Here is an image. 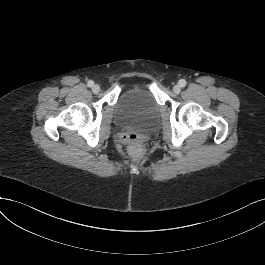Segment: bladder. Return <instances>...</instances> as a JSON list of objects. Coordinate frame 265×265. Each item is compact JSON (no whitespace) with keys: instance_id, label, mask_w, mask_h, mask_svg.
<instances>
[{"instance_id":"31cf9c89","label":"bladder","mask_w":265,"mask_h":265,"mask_svg":"<svg viewBox=\"0 0 265 265\" xmlns=\"http://www.w3.org/2000/svg\"><path fill=\"white\" fill-rule=\"evenodd\" d=\"M117 117L127 127L142 128L154 126L153 118L158 107L152 93L144 88L123 93L118 100Z\"/></svg>"}]
</instances>
